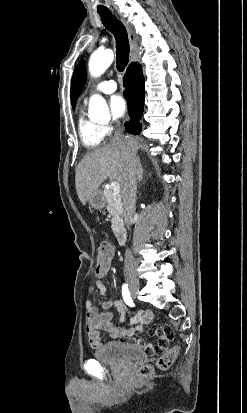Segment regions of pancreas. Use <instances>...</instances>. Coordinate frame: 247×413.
I'll use <instances>...</instances> for the list:
<instances>
[{
	"mask_svg": "<svg viewBox=\"0 0 247 413\" xmlns=\"http://www.w3.org/2000/svg\"><path fill=\"white\" fill-rule=\"evenodd\" d=\"M103 194L107 202V211H109L110 215H112L111 229L114 233H118L123 221L121 217L124 215L121 202L122 194H114V190H112V188H104Z\"/></svg>",
	"mask_w": 247,
	"mask_h": 413,
	"instance_id": "pancreas-1",
	"label": "pancreas"
}]
</instances>
